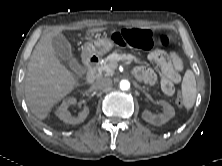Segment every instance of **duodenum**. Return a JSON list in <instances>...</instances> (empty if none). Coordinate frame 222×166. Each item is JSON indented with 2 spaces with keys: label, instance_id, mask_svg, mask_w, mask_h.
I'll use <instances>...</instances> for the list:
<instances>
[{
  "label": "duodenum",
  "instance_id": "obj_1",
  "mask_svg": "<svg viewBox=\"0 0 222 166\" xmlns=\"http://www.w3.org/2000/svg\"><path fill=\"white\" fill-rule=\"evenodd\" d=\"M84 64L87 67V83L92 85L97 77V70L100 64V58L97 55L87 53L83 58Z\"/></svg>",
  "mask_w": 222,
  "mask_h": 166
}]
</instances>
